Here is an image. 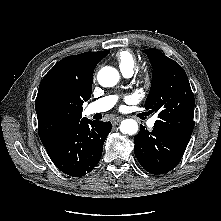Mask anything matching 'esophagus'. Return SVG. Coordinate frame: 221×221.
I'll return each mask as SVG.
<instances>
[{"label": "esophagus", "instance_id": "34e87169", "mask_svg": "<svg viewBox=\"0 0 221 221\" xmlns=\"http://www.w3.org/2000/svg\"><path fill=\"white\" fill-rule=\"evenodd\" d=\"M121 120H122L121 117H117V118H115V119L112 120V124H113V125H117Z\"/></svg>", "mask_w": 221, "mask_h": 221}]
</instances>
